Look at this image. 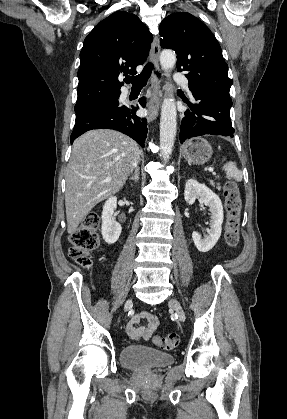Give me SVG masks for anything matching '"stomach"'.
Returning a JSON list of instances; mask_svg holds the SVG:
<instances>
[{
  "mask_svg": "<svg viewBox=\"0 0 287 419\" xmlns=\"http://www.w3.org/2000/svg\"><path fill=\"white\" fill-rule=\"evenodd\" d=\"M212 147L209 142L202 137H194L188 140L182 149L184 158L190 164H204L212 155Z\"/></svg>",
  "mask_w": 287,
  "mask_h": 419,
  "instance_id": "stomach-1",
  "label": "stomach"
}]
</instances>
